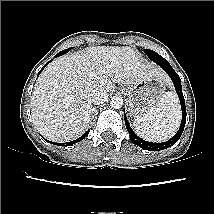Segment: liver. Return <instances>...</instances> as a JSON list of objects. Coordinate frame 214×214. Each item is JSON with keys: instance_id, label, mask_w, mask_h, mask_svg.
<instances>
[{"instance_id": "6515ba94", "label": "liver", "mask_w": 214, "mask_h": 214, "mask_svg": "<svg viewBox=\"0 0 214 214\" xmlns=\"http://www.w3.org/2000/svg\"><path fill=\"white\" fill-rule=\"evenodd\" d=\"M165 79L164 72L128 46L90 47L52 61L40 74L31 99L32 120L45 138L68 142L81 136L91 119L89 94L110 93L115 83Z\"/></svg>"}]
</instances>
